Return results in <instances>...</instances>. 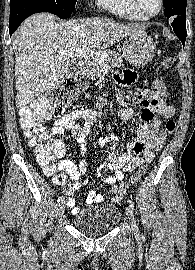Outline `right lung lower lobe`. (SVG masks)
I'll return each mask as SVG.
<instances>
[{
  "mask_svg": "<svg viewBox=\"0 0 195 270\" xmlns=\"http://www.w3.org/2000/svg\"><path fill=\"white\" fill-rule=\"evenodd\" d=\"M50 12V7L40 1L34 0H11L10 1V20H9V33L10 36L19 27L21 22L28 16L39 13Z\"/></svg>",
  "mask_w": 195,
  "mask_h": 270,
  "instance_id": "98d812e1",
  "label": "right lung lower lobe"
}]
</instances>
